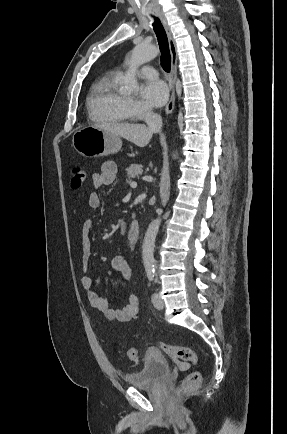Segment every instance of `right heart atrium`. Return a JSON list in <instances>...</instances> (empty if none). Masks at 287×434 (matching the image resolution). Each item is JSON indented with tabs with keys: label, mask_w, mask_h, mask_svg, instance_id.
Listing matches in <instances>:
<instances>
[{
	"label": "right heart atrium",
	"mask_w": 287,
	"mask_h": 434,
	"mask_svg": "<svg viewBox=\"0 0 287 434\" xmlns=\"http://www.w3.org/2000/svg\"><path fill=\"white\" fill-rule=\"evenodd\" d=\"M125 106L129 114L134 117L149 112V109L142 102H140L135 98H131V97L125 98Z\"/></svg>",
	"instance_id": "1"
}]
</instances>
